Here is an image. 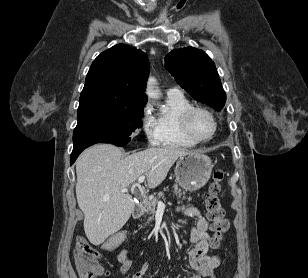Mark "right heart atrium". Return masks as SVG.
I'll return each instance as SVG.
<instances>
[{
    "label": "right heart atrium",
    "mask_w": 308,
    "mask_h": 278,
    "mask_svg": "<svg viewBox=\"0 0 308 278\" xmlns=\"http://www.w3.org/2000/svg\"><path fill=\"white\" fill-rule=\"evenodd\" d=\"M140 128L150 144H157L156 122L149 104L142 110Z\"/></svg>",
    "instance_id": "d8ad5b80"
}]
</instances>
